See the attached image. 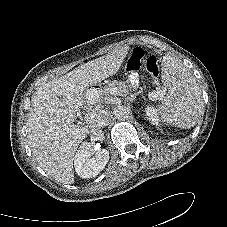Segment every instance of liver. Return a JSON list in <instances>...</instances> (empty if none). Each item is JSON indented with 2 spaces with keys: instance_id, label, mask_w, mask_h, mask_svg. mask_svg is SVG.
I'll list each match as a JSON object with an SVG mask.
<instances>
[{
  "instance_id": "obj_1",
  "label": "liver",
  "mask_w": 227,
  "mask_h": 227,
  "mask_svg": "<svg viewBox=\"0 0 227 227\" xmlns=\"http://www.w3.org/2000/svg\"><path fill=\"white\" fill-rule=\"evenodd\" d=\"M128 50V46L115 49L82 64L47 82L32 96L27 119L29 145L39 166L56 181L74 183V155L90 132L88 126L74 122L76 113L90 105L88 88L116 74Z\"/></svg>"
}]
</instances>
